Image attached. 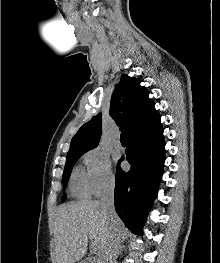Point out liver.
I'll list each match as a JSON object with an SVG mask.
<instances>
[{
	"mask_svg": "<svg viewBox=\"0 0 220 263\" xmlns=\"http://www.w3.org/2000/svg\"><path fill=\"white\" fill-rule=\"evenodd\" d=\"M115 225L122 232L124 226L117 217ZM110 221L100 201L83 200L60 206L54 224L56 263H76L87 252L88 238L95 242L99 260L103 262L107 251Z\"/></svg>",
	"mask_w": 220,
	"mask_h": 263,
	"instance_id": "liver-1",
	"label": "liver"
}]
</instances>
